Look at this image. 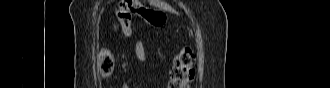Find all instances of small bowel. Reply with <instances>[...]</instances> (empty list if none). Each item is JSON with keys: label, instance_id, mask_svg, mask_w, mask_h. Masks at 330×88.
<instances>
[{"label": "small bowel", "instance_id": "c3829d8e", "mask_svg": "<svg viewBox=\"0 0 330 88\" xmlns=\"http://www.w3.org/2000/svg\"><path fill=\"white\" fill-rule=\"evenodd\" d=\"M134 52L135 56L141 63L146 64L148 62V55L144 48L143 41L141 39H137L134 43Z\"/></svg>", "mask_w": 330, "mask_h": 88}]
</instances>
